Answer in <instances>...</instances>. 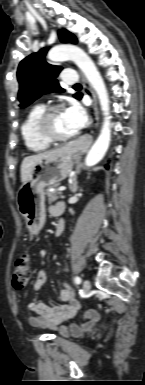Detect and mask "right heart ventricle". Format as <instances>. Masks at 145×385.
<instances>
[{
  "instance_id": "1",
  "label": "right heart ventricle",
  "mask_w": 145,
  "mask_h": 385,
  "mask_svg": "<svg viewBox=\"0 0 145 385\" xmlns=\"http://www.w3.org/2000/svg\"><path fill=\"white\" fill-rule=\"evenodd\" d=\"M44 109L45 106L42 104L34 105L26 114L21 125L22 139L26 148L31 152L44 151L50 144L40 137L36 129L37 120Z\"/></svg>"
}]
</instances>
